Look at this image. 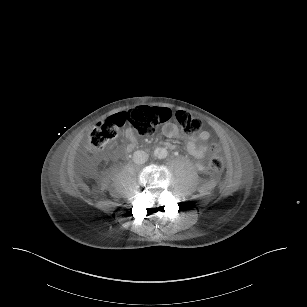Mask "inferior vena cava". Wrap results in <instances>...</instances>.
<instances>
[{
    "label": "inferior vena cava",
    "instance_id": "obj_1",
    "mask_svg": "<svg viewBox=\"0 0 307 307\" xmlns=\"http://www.w3.org/2000/svg\"><path fill=\"white\" fill-rule=\"evenodd\" d=\"M148 153L142 150H137L133 153V161L136 164H144L148 160Z\"/></svg>",
    "mask_w": 307,
    "mask_h": 307
}]
</instances>
